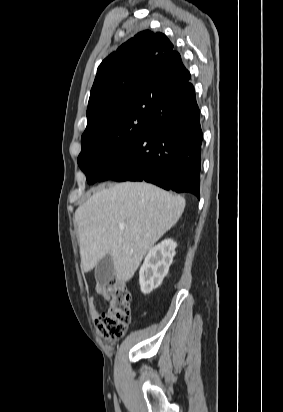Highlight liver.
<instances>
[{"label": "liver", "mask_w": 283, "mask_h": 412, "mask_svg": "<svg viewBox=\"0 0 283 412\" xmlns=\"http://www.w3.org/2000/svg\"><path fill=\"white\" fill-rule=\"evenodd\" d=\"M184 208L183 197L144 182L119 183L97 191L75 212L82 271H91L110 254L117 280L129 281L147 251L177 223Z\"/></svg>", "instance_id": "liver-1"}]
</instances>
